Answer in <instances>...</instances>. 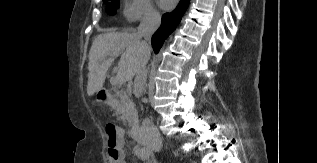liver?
Returning <instances> with one entry per match:
<instances>
[{
	"label": "liver",
	"instance_id": "6515ba94",
	"mask_svg": "<svg viewBox=\"0 0 317 163\" xmlns=\"http://www.w3.org/2000/svg\"><path fill=\"white\" fill-rule=\"evenodd\" d=\"M119 55L121 57L118 62V74L121 76V82H126L138 74L143 59L149 58L150 51L144 48L141 37L133 31L99 34L89 52V96L102 89L107 70Z\"/></svg>",
	"mask_w": 317,
	"mask_h": 163
}]
</instances>
